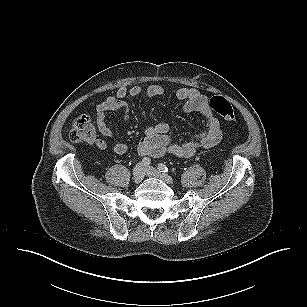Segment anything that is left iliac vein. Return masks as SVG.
Wrapping results in <instances>:
<instances>
[{
    "mask_svg": "<svg viewBox=\"0 0 307 307\" xmlns=\"http://www.w3.org/2000/svg\"><path fill=\"white\" fill-rule=\"evenodd\" d=\"M145 173L147 176L158 178L167 184L173 183V179L169 175L164 174L151 166L145 167Z\"/></svg>",
    "mask_w": 307,
    "mask_h": 307,
    "instance_id": "1",
    "label": "left iliac vein"
}]
</instances>
